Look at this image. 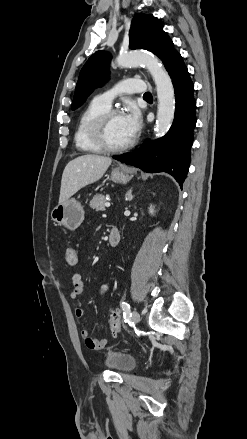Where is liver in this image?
Returning <instances> with one entry per match:
<instances>
[{
	"label": "liver",
	"instance_id": "obj_1",
	"mask_svg": "<svg viewBox=\"0 0 247 439\" xmlns=\"http://www.w3.org/2000/svg\"><path fill=\"white\" fill-rule=\"evenodd\" d=\"M111 163V158L94 154L82 155L71 160L62 174L59 204L68 200L82 187L98 181Z\"/></svg>",
	"mask_w": 247,
	"mask_h": 439
}]
</instances>
